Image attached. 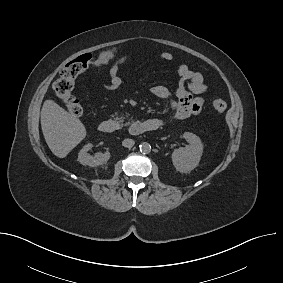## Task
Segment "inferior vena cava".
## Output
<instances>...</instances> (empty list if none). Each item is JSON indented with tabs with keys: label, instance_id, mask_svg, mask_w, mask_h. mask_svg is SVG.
Listing matches in <instances>:
<instances>
[{
	"label": "inferior vena cava",
	"instance_id": "602c4592",
	"mask_svg": "<svg viewBox=\"0 0 283 283\" xmlns=\"http://www.w3.org/2000/svg\"><path fill=\"white\" fill-rule=\"evenodd\" d=\"M134 144H135L134 140L133 139H129V138L124 139L123 142H122V145L124 147H127V148H132L134 146Z\"/></svg>",
	"mask_w": 283,
	"mask_h": 283
}]
</instances>
